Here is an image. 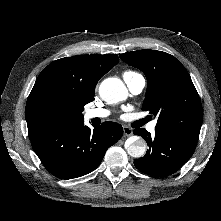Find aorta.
Wrapping results in <instances>:
<instances>
[{"mask_svg": "<svg viewBox=\"0 0 221 221\" xmlns=\"http://www.w3.org/2000/svg\"><path fill=\"white\" fill-rule=\"evenodd\" d=\"M99 94L105 102L114 104L126 99L128 91L121 80L107 78L100 84ZM126 150L131 157L140 158L146 152V143L142 138L131 137L128 140Z\"/></svg>", "mask_w": 221, "mask_h": 221, "instance_id": "762f6f07", "label": "aorta"}]
</instances>
